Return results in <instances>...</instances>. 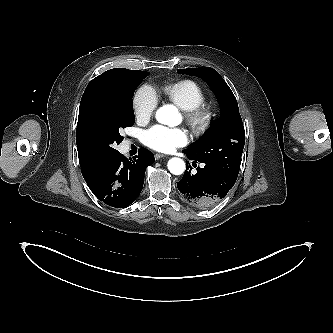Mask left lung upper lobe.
Returning <instances> with one entry per match:
<instances>
[{
  "mask_svg": "<svg viewBox=\"0 0 333 333\" xmlns=\"http://www.w3.org/2000/svg\"><path fill=\"white\" fill-rule=\"evenodd\" d=\"M178 73L202 78L216 93L223 117L203 140L185 149L193 158L209 164L232 180L237 179L245 143V131L236 98L213 68L178 69Z\"/></svg>",
  "mask_w": 333,
  "mask_h": 333,
  "instance_id": "5c2ea615",
  "label": "left lung upper lobe"
}]
</instances>
